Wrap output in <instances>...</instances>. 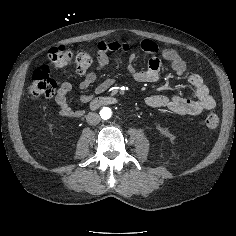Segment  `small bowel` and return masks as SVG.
I'll return each instance as SVG.
<instances>
[{
	"instance_id": "obj_1",
	"label": "small bowel",
	"mask_w": 236,
	"mask_h": 236,
	"mask_svg": "<svg viewBox=\"0 0 236 236\" xmlns=\"http://www.w3.org/2000/svg\"><path fill=\"white\" fill-rule=\"evenodd\" d=\"M141 49L153 55L145 69L138 70L134 66L136 55L131 50V45L124 41H100L97 44L96 65L93 71L83 73V79L79 84L82 91L88 90L97 80L98 73L104 70L109 64L110 52H122L128 56V71L132 78L140 83L156 82L160 77L162 69V59L156 54L160 53L161 57L170 62L173 71L177 75H184L187 70L185 61L173 49L160 50L158 45L149 39L140 42ZM186 82L192 87L195 99L183 98L178 95L166 96L155 94L146 97L145 103L152 108L165 107L171 112L178 115H199L203 111L215 108L216 101L209 92L208 87L203 82V79L197 74H190L186 78ZM115 83L114 78H107L97 85L95 93H102L111 88ZM72 90V84L64 81L55 96V103L59 108V113L63 117L77 118L83 115V110L74 109L70 106L67 100L68 93ZM90 96L83 94L80 97L81 102L86 103Z\"/></svg>"
}]
</instances>
